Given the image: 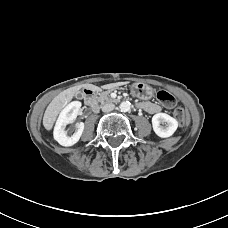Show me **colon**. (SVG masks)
<instances>
[{
  "instance_id": "1",
  "label": "colon",
  "mask_w": 228,
  "mask_h": 228,
  "mask_svg": "<svg viewBox=\"0 0 228 228\" xmlns=\"http://www.w3.org/2000/svg\"><path fill=\"white\" fill-rule=\"evenodd\" d=\"M156 98L158 99V101H160L162 104H164L168 107H173L176 104L175 97L172 94H170L169 92L164 91V90L158 91L156 94ZM174 115H175L176 119L182 124L185 123V121L188 118L186 111L180 107L175 109Z\"/></svg>"
}]
</instances>
